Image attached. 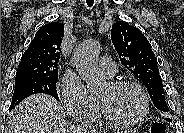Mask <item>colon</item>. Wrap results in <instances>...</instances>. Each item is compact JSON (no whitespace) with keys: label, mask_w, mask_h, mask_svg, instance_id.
<instances>
[{"label":"colon","mask_w":184,"mask_h":133,"mask_svg":"<svg viewBox=\"0 0 184 133\" xmlns=\"http://www.w3.org/2000/svg\"><path fill=\"white\" fill-rule=\"evenodd\" d=\"M151 133H168V129L163 123H155L151 128Z\"/></svg>","instance_id":"5ec220e1"}]
</instances>
